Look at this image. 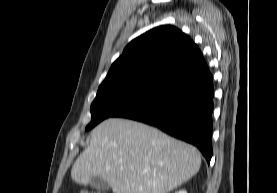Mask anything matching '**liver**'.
Segmentation results:
<instances>
[{"instance_id":"1","label":"liver","mask_w":277,"mask_h":193,"mask_svg":"<svg viewBox=\"0 0 277 193\" xmlns=\"http://www.w3.org/2000/svg\"><path fill=\"white\" fill-rule=\"evenodd\" d=\"M200 165L194 146L146 124L110 118L91 132L90 146L74 162L71 178L88 185L101 177L113 193H168Z\"/></svg>"}]
</instances>
